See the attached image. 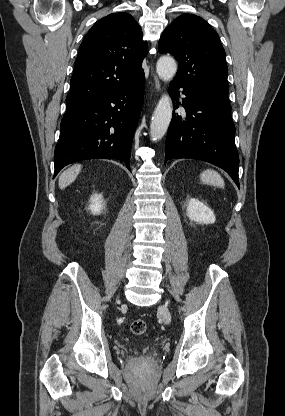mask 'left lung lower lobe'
I'll use <instances>...</instances> for the list:
<instances>
[{
  "label": "left lung lower lobe",
  "instance_id": "0a47b994",
  "mask_svg": "<svg viewBox=\"0 0 285 416\" xmlns=\"http://www.w3.org/2000/svg\"><path fill=\"white\" fill-rule=\"evenodd\" d=\"M180 88L183 87L173 81L170 83L169 94L173 101L180 96ZM183 89L186 97L182 104L187 117L183 120L173 114L166 139L165 164L174 158L203 160L224 169L240 188L239 155L234 144L235 126L229 104L204 99Z\"/></svg>",
  "mask_w": 285,
  "mask_h": 416
}]
</instances>
